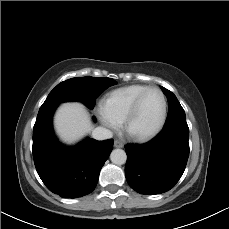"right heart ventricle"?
I'll return each instance as SVG.
<instances>
[{
  "label": "right heart ventricle",
  "mask_w": 229,
  "mask_h": 229,
  "mask_svg": "<svg viewBox=\"0 0 229 229\" xmlns=\"http://www.w3.org/2000/svg\"><path fill=\"white\" fill-rule=\"evenodd\" d=\"M150 86L133 84L109 92L102 102L105 112L117 122H122L135 98Z\"/></svg>",
  "instance_id": "right-heart-ventricle-1"
}]
</instances>
